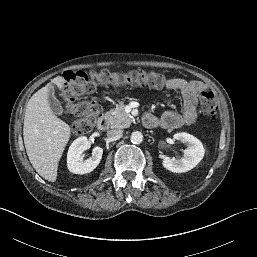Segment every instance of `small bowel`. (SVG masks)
I'll return each instance as SVG.
<instances>
[{"label": "small bowel", "instance_id": "obj_1", "mask_svg": "<svg viewBox=\"0 0 257 257\" xmlns=\"http://www.w3.org/2000/svg\"><path fill=\"white\" fill-rule=\"evenodd\" d=\"M166 88L177 90L181 94L183 107L180 112L165 111L160 116L146 114L144 123L148 127L160 126L166 129H176L191 125L197 118V102L205 85L199 81H187L182 78H172L165 85Z\"/></svg>", "mask_w": 257, "mask_h": 257}]
</instances>
